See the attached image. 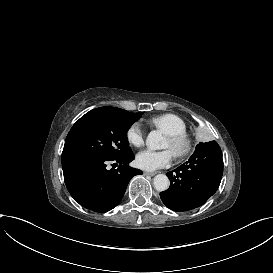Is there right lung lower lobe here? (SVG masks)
<instances>
[{"label": "right lung lower lobe", "instance_id": "obj_1", "mask_svg": "<svg viewBox=\"0 0 273 273\" xmlns=\"http://www.w3.org/2000/svg\"><path fill=\"white\" fill-rule=\"evenodd\" d=\"M133 159L132 152L110 159H74L62 165L66 187L84 208L99 213L110 211L120 203L130 179L142 174L129 166ZM109 163H113L110 170Z\"/></svg>", "mask_w": 273, "mask_h": 273}]
</instances>
